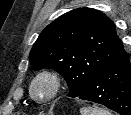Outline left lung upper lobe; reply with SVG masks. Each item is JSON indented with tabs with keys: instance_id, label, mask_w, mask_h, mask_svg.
<instances>
[{
	"instance_id": "left-lung-upper-lobe-1",
	"label": "left lung upper lobe",
	"mask_w": 131,
	"mask_h": 115,
	"mask_svg": "<svg viewBox=\"0 0 131 115\" xmlns=\"http://www.w3.org/2000/svg\"><path fill=\"white\" fill-rule=\"evenodd\" d=\"M126 51L113 22L92 8L67 12L49 24L31 52L32 69H54L67 81L69 97H77Z\"/></svg>"
}]
</instances>
